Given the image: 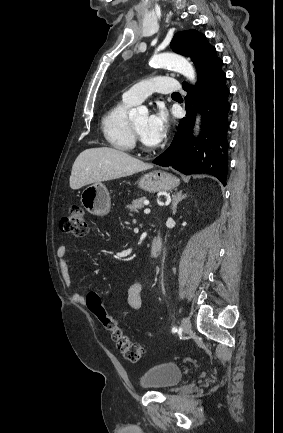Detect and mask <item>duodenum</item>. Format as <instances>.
Returning <instances> with one entry per match:
<instances>
[{
    "label": "duodenum",
    "instance_id": "duodenum-1",
    "mask_svg": "<svg viewBox=\"0 0 283 433\" xmlns=\"http://www.w3.org/2000/svg\"><path fill=\"white\" fill-rule=\"evenodd\" d=\"M163 247V242L159 231L155 232V235L151 242V250L150 254L153 259H156L160 256Z\"/></svg>",
    "mask_w": 283,
    "mask_h": 433
}]
</instances>
